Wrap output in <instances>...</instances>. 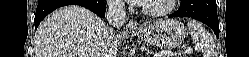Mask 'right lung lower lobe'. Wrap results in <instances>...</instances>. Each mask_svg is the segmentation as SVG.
Listing matches in <instances>:
<instances>
[{
    "label": "right lung lower lobe",
    "mask_w": 249,
    "mask_h": 57,
    "mask_svg": "<svg viewBox=\"0 0 249 57\" xmlns=\"http://www.w3.org/2000/svg\"><path fill=\"white\" fill-rule=\"evenodd\" d=\"M70 4L83 6L105 18L106 6L103 0H39L34 19L35 28L38 27L46 15L61 6Z\"/></svg>",
    "instance_id": "98d812e1"
}]
</instances>
